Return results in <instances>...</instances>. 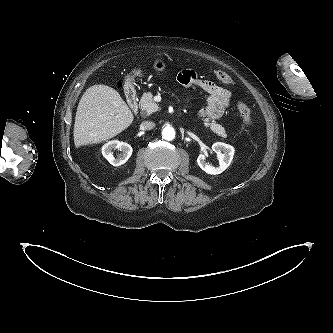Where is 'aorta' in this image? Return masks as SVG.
<instances>
[{
  "label": "aorta",
  "mask_w": 333,
  "mask_h": 333,
  "mask_svg": "<svg viewBox=\"0 0 333 333\" xmlns=\"http://www.w3.org/2000/svg\"><path fill=\"white\" fill-rule=\"evenodd\" d=\"M162 136L165 140H173L175 138V130L171 126H166L163 128Z\"/></svg>",
  "instance_id": "obj_1"
}]
</instances>
